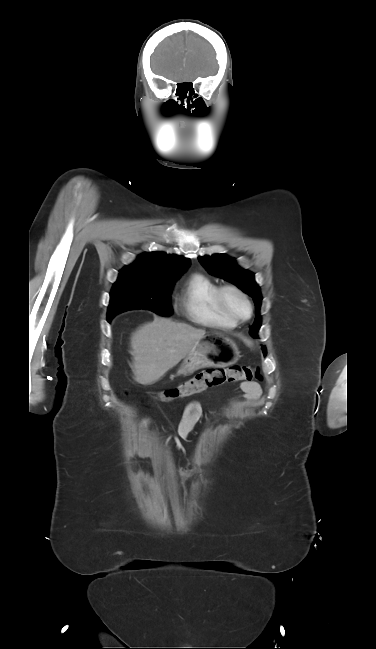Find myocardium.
Here are the masks:
<instances>
[{
    "mask_svg": "<svg viewBox=\"0 0 376 649\" xmlns=\"http://www.w3.org/2000/svg\"><path fill=\"white\" fill-rule=\"evenodd\" d=\"M230 294L236 295L246 304L247 313L245 315H238L231 310L227 302V296ZM217 300L225 315L228 316L233 321H235L236 323L247 321L248 319H250L253 310L252 303L248 295L238 286L233 284L220 286L217 291Z\"/></svg>",
    "mask_w": 376,
    "mask_h": 649,
    "instance_id": "myocardium-1",
    "label": "myocardium"
}]
</instances>
